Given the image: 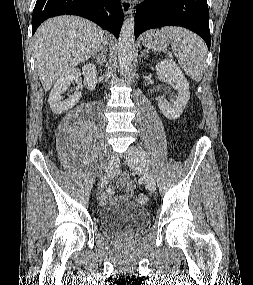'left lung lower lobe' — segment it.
<instances>
[{"mask_svg":"<svg viewBox=\"0 0 253 285\" xmlns=\"http://www.w3.org/2000/svg\"><path fill=\"white\" fill-rule=\"evenodd\" d=\"M185 27L211 45L206 0H145L135 15V39L144 31L162 26Z\"/></svg>","mask_w":253,"mask_h":285,"instance_id":"1","label":"left lung lower lobe"}]
</instances>
